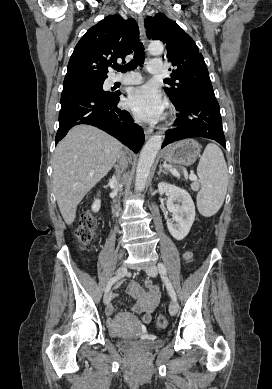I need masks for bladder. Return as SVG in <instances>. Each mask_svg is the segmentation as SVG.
<instances>
[{
  "label": "bladder",
  "mask_w": 272,
  "mask_h": 389,
  "mask_svg": "<svg viewBox=\"0 0 272 389\" xmlns=\"http://www.w3.org/2000/svg\"><path fill=\"white\" fill-rule=\"evenodd\" d=\"M109 335L115 339L119 348L130 353L147 352L164 345L163 339L155 340H131L119 339L118 334L113 330H108Z\"/></svg>",
  "instance_id": "obj_1"
}]
</instances>
